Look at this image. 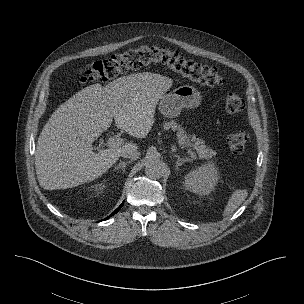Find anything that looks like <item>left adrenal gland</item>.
<instances>
[{"label": "left adrenal gland", "mask_w": 304, "mask_h": 304, "mask_svg": "<svg viewBox=\"0 0 304 304\" xmlns=\"http://www.w3.org/2000/svg\"><path fill=\"white\" fill-rule=\"evenodd\" d=\"M174 157L177 158V162H176V170L179 169V166L183 165L186 161H190L189 158H182L180 157L178 154L173 155Z\"/></svg>", "instance_id": "a2214340"}]
</instances>
